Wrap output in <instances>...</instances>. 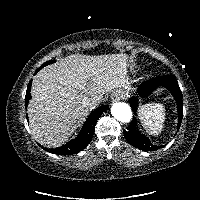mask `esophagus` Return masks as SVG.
Instances as JSON below:
<instances>
[{
    "instance_id": "1",
    "label": "esophagus",
    "mask_w": 200,
    "mask_h": 200,
    "mask_svg": "<svg viewBox=\"0 0 200 200\" xmlns=\"http://www.w3.org/2000/svg\"><path fill=\"white\" fill-rule=\"evenodd\" d=\"M124 98V93L121 90H115L111 94L112 101H119Z\"/></svg>"
}]
</instances>
